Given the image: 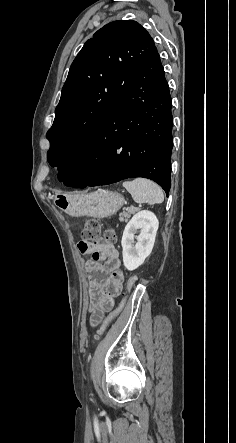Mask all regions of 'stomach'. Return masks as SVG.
<instances>
[{"label": "stomach", "instance_id": "obj_1", "mask_svg": "<svg viewBox=\"0 0 236 443\" xmlns=\"http://www.w3.org/2000/svg\"><path fill=\"white\" fill-rule=\"evenodd\" d=\"M55 204L70 215L105 218L123 206L124 198L117 192L98 189L88 194L58 195Z\"/></svg>", "mask_w": 236, "mask_h": 443}]
</instances>
